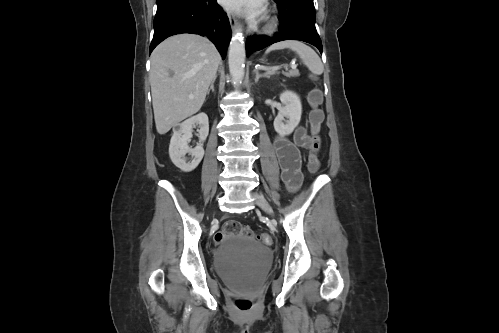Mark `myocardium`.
I'll return each mask as SVG.
<instances>
[{
    "label": "myocardium",
    "mask_w": 499,
    "mask_h": 333,
    "mask_svg": "<svg viewBox=\"0 0 499 333\" xmlns=\"http://www.w3.org/2000/svg\"><path fill=\"white\" fill-rule=\"evenodd\" d=\"M275 27H276V24H275L274 19L272 17H267L265 25L263 27L264 31L267 33H271L274 31Z\"/></svg>",
    "instance_id": "obj_1"
}]
</instances>
